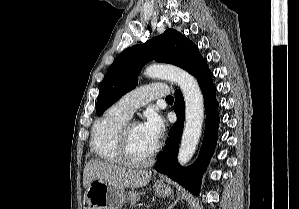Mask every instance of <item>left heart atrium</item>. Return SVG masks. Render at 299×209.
<instances>
[{
	"mask_svg": "<svg viewBox=\"0 0 299 209\" xmlns=\"http://www.w3.org/2000/svg\"><path fill=\"white\" fill-rule=\"evenodd\" d=\"M140 128L148 141L156 146L164 131V122L155 111H149Z\"/></svg>",
	"mask_w": 299,
	"mask_h": 209,
	"instance_id": "1",
	"label": "left heart atrium"
}]
</instances>
